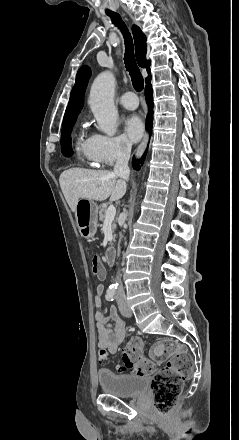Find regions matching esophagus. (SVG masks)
<instances>
[{
	"label": "esophagus",
	"mask_w": 239,
	"mask_h": 440,
	"mask_svg": "<svg viewBox=\"0 0 239 440\" xmlns=\"http://www.w3.org/2000/svg\"><path fill=\"white\" fill-rule=\"evenodd\" d=\"M147 140H148V135L146 134L141 142V144L139 145V148L137 150V155L140 156L142 155V153L145 150V147L147 145Z\"/></svg>",
	"instance_id": "esophagus-1"
}]
</instances>
